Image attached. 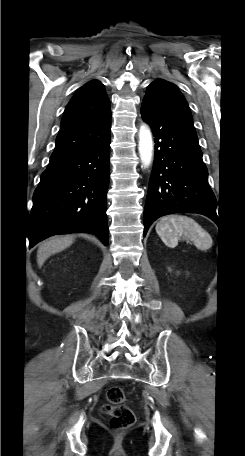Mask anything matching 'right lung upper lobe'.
<instances>
[{"label":"right lung upper lobe","mask_w":245,"mask_h":456,"mask_svg":"<svg viewBox=\"0 0 245 456\" xmlns=\"http://www.w3.org/2000/svg\"><path fill=\"white\" fill-rule=\"evenodd\" d=\"M110 125V101L103 84L98 80L89 81L66 106L50 159L90 146Z\"/></svg>","instance_id":"right-lung-upper-lobe-1"}]
</instances>
